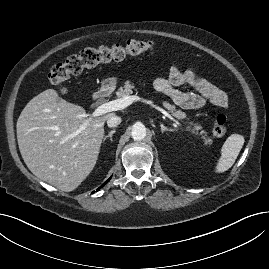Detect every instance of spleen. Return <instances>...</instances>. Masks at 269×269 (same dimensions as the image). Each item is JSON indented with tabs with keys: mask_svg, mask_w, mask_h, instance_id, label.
I'll use <instances>...</instances> for the list:
<instances>
[{
	"mask_svg": "<svg viewBox=\"0 0 269 269\" xmlns=\"http://www.w3.org/2000/svg\"><path fill=\"white\" fill-rule=\"evenodd\" d=\"M244 141V137L240 134H232L226 139L221 149V157L215 168L216 173H223L233 166Z\"/></svg>",
	"mask_w": 269,
	"mask_h": 269,
	"instance_id": "spleen-1",
	"label": "spleen"
}]
</instances>
